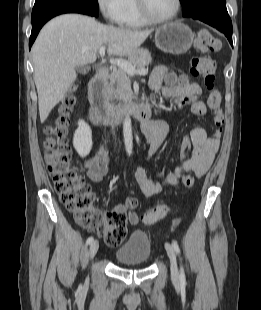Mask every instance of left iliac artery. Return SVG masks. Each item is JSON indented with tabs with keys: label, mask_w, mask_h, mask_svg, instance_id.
Listing matches in <instances>:
<instances>
[{
	"label": "left iliac artery",
	"mask_w": 261,
	"mask_h": 310,
	"mask_svg": "<svg viewBox=\"0 0 261 310\" xmlns=\"http://www.w3.org/2000/svg\"><path fill=\"white\" fill-rule=\"evenodd\" d=\"M172 247L176 251V253L179 255L180 254V248H179L178 244L175 241L172 242ZM180 281L183 284L186 282L185 272H184V268L182 266L180 268Z\"/></svg>",
	"instance_id": "1"
}]
</instances>
